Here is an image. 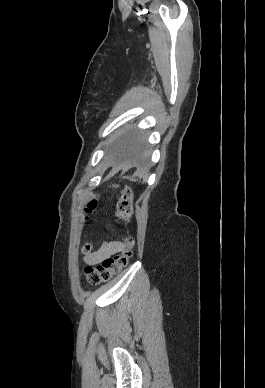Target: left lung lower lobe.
<instances>
[{
    "instance_id": "obj_1",
    "label": "left lung lower lobe",
    "mask_w": 265,
    "mask_h": 388,
    "mask_svg": "<svg viewBox=\"0 0 265 388\" xmlns=\"http://www.w3.org/2000/svg\"><path fill=\"white\" fill-rule=\"evenodd\" d=\"M118 154L120 158L126 161L137 162L142 160L140 143L132 137H128L121 142Z\"/></svg>"
}]
</instances>
